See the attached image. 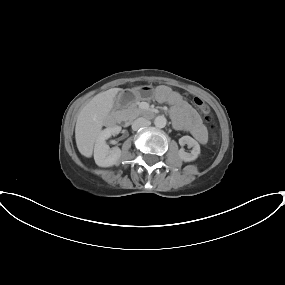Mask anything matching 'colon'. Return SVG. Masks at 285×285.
<instances>
[{
	"mask_svg": "<svg viewBox=\"0 0 285 285\" xmlns=\"http://www.w3.org/2000/svg\"><path fill=\"white\" fill-rule=\"evenodd\" d=\"M129 96L126 97V100H129ZM194 104L200 109V111L203 113L204 118L206 121L211 120V113L209 110V107L204 103V101L198 97H195L193 100Z\"/></svg>",
	"mask_w": 285,
	"mask_h": 285,
	"instance_id": "colon-1",
	"label": "colon"
}]
</instances>
